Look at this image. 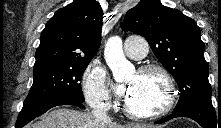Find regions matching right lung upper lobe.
I'll list each match as a JSON object with an SVG mask.
<instances>
[{
  "label": "right lung upper lobe",
  "instance_id": "1",
  "mask_svg": "<svg viewBox=\"0 0 221 128\" xmlns=\"http://www.w3.org/2000/svg\"><path fill=\"white\" fill-rule=\"evenodd\" d=\"M103 11L96 0H75L47 22L34 70L91 60L100 46Z\"/></svg>",
  "mask_w": 221,
  "mask_h": 128
}]
</instances>
